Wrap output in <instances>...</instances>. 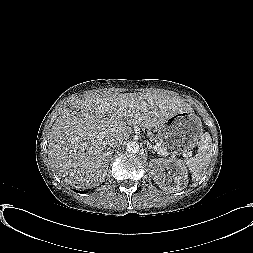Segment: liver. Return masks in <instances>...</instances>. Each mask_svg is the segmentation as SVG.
Instances as JSON below:
<instances>
[{
    "mask_svg": "<svg viewBox=\"0 0 253 253\" xmlns=\"http://www.w3.org/2000/svg\"><path fill=\"white\" fill-rule=\"evenodd\" d=\"M192 108L164 93H113L104 90L76 99L51 128L48 157L66 183L84 188L104 182L113 139L122 142L132 126L158 128L175 113Z\"/></svg>",
    "mask_w": 253,
    "mask_h": 253,
    "instance_id": "6515ba94",
    "label": "liver"
}]
</instances>
